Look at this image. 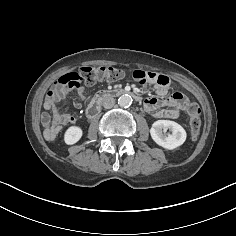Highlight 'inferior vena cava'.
Segmentation results:
<instances>
[{"label": "inferior vena cava", "instance_id": "obj_1", "mask_svg": "<svg viewBox=\"0 0 236 236\" xmlns=\"http://www.w3.org/2000/svg\"><path fill=\"white\" fill-rule=\"evenodd\" d=\"M114 104H115V99L112 97H106V98H104V100L102 102L103 107L106 109L112 108L114 106Z\"/></svg>", "mask_w": 236, "mask_h": 236}]
</instances>
